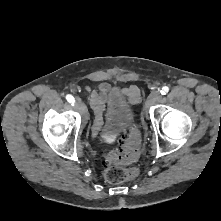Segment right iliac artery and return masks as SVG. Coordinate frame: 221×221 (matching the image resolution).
Listing matches in <instances>:
<instances>
[{
    "mask_svg": "<svg viewBox=\"0 0 221 221\" xmlns=\"http://www.w3.org/2000/svg\"><path fill=\"white\" fill-rule=\"evenodd\" d=\"M66 100L71 104L74 105L75 104V99L72 95L68 94L66 95Z\"/></svg>",
    "mask_w": 221,
    "mask_h": 221,
    "instance_id": "1",
    "label": "right iliac artery"
}]
</instances>
